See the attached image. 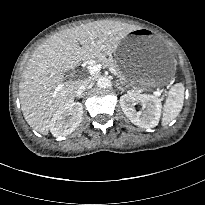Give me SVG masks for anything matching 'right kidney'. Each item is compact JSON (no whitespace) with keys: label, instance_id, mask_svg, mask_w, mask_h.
Masks as SVG:
<instances>
[{"label":"right kidney","instance_id":"ca27d5eb","mask_svg":"<svg viewBox=\"0 0 205 205\" xmlns=\"http://www.w3.org/2000/svg\"><path fill=\"white\" fill-rule=\"evenodd\" d=\"M83 106L79 102L65 103L53 115L49 129L54 137L71 134L81 123Z\"/></svg>","mask_w":205,"mask_h":205}]
</instances>
